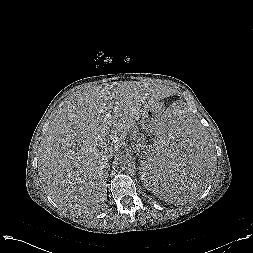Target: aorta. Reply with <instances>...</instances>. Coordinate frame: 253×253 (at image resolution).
Masks as SVG:
<instances>
[{
  "label": "aorta",
  "instance_id": "aorta-1",
  "mask_svg": "<svg viewBox=\"0 0 253 253\" xmlns=\"http://www.w3.org/2000/svg\"><path fill=\"white\" fill-rule=\"evenodd\" d=\"M118 164L122 170H132L135 167L134 158L129 154H123L118 158Z\"/></svg>",
  "mask_w": 253,
  "mask_h": 253
}]
</instances>
